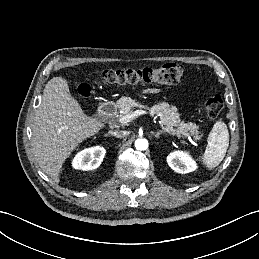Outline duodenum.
<instances>
[{"instance_id": "obj_1", "label": "duodenum", "mask_w": 259, "mask_h": 259, "mask_svg": "<svg viewBox=\"0 0 259 259\" xmlns=\"http://www.w3.org/2000/svg\"><path fill=\"white\" fill-rule=\"evenodd\" d=\"M115 105L112 102H106L100 105L99 114L103 118H109L114 115Z\"/></svg>"}]
</instances>
